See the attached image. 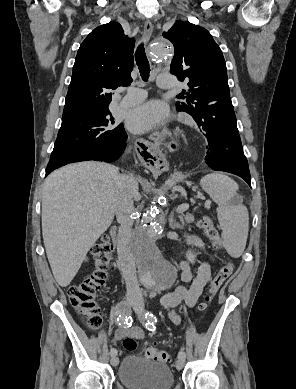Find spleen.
<instances>
[{"instance_id":"1","label":"spleen","mask_w":296,"mask_h":389,"mask_svg":"<svg viewBox=\"0 0 296 389\" xmlns=\"http://www.w3.org/2000/svg\"><path fill=\"white\" fill-rule=\"evenodd\" d=\"M200 185L218 204L217 217L224 248L231 257L239 258L246 247L249 214L237 196V183L221 173H210L201 179Z\"/></svg>"}]
</instances>
